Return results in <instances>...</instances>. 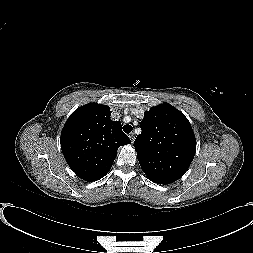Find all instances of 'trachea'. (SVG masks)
Segmentation results:
<instances>
[{
  "mask_svg": "<svg viewBox=\"0 0 253 253\" xmlns=\"http://www.w3.org/2000/svg\"><path fill=\"white\" fill-rule=\"evenodd\" d=\"M132 126L131 125H124L123 126V131L125 132V133H127V134H129L131 131H132Z\"/></svg>",
  "mask_w": 253,
  "mask_h": 253,
  "instance_id": "trachea-1",
  "label": "trachea"
}]
</instances>
